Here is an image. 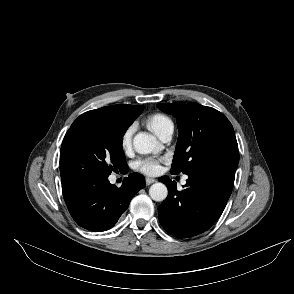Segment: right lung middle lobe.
Instances as JSON below:
<instances>
[{"label": "right lung middle lobe", "mask_w": 294, "mask_h": 294, "mask_svg": "<svg viewBox=\"0 0 294 294\" xmlns=\"http://www.w3.org/2000/svg\"><path fill=\"white\" fill-rule=\"evenodd\" d=\"M128 127L102 116L76 119L61 145L62 184L108 177L127 167L122 142Z\"/></svg>", "instance_id": "obj_1"}]
</instances>
